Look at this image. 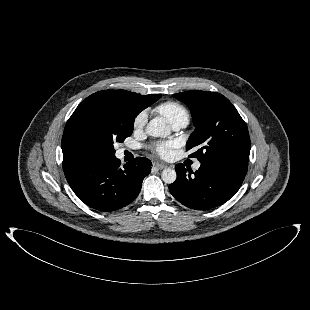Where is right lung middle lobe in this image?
<instances>
[{
    "label": "right lung middle lobe",
    "instance_id": "right-lung-middle-lobe-1",
    "mask_svg": "<svg viewBox=\"0 0 310 310\" xmlns=\"http://www.w3.org/2000/svg\"><path fill=\"white\" fill-rule=\"evenodd\" d=\"M134 119L113 103L81 102L64 129L63 157L115 154L114 142L132 134Z\"/></svg>",
    "mask_w": 310,
    "mask_h": 310
}]
</instances>
